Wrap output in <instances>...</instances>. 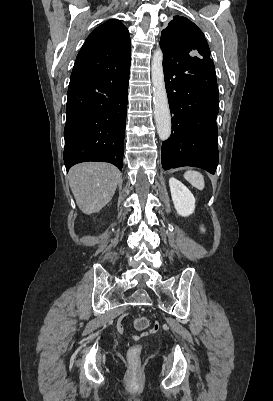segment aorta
<instances>
[{
	"mask_svg": "<svg viewBox=\"0 0 273 401\" xmlns=\"http://www.w3.org/2000/svg\"><path fill=\"white\" fill-rule=\"evenodd\" d=\"M151 70L155 124L159 138L165 141L171 135L172 126L164 81L163 53L160 48L154 52Z\"/></svg>",
	"mask_w": 273,
	"mask_h": 401,
	"instance_id": "762f6f07",
	"label": "aorta"
}]
</instances>
